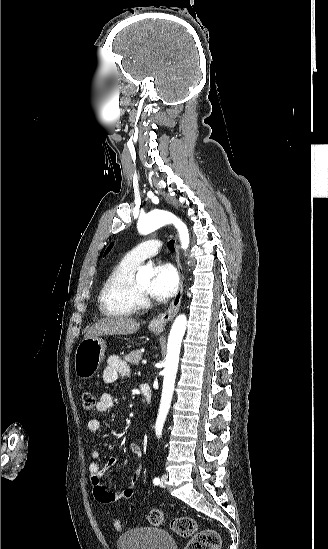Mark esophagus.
Instances as JSON below:
<instances>
[{"mask_svg": "<svg viewBox=\"0 0 328 549\" xmlns=\"http://www.w3.org/2000/svg\"><path fill=\"white\" fill-rule=\"evenodd\" d=\"M175 248H176V262H177L178 274H179L178 291L172 303L169 305L168 309L165 310V312H163L162 314L158 315L157 317L151 320L150 326L154 330H163L167 322H169V320H172L175 317L181 304L182 295H183L184 276H183V270L180 262V254H179V248H178L177 242H175Z\"/></svg>", "mask_w": 328, "mask_h": 549, "instance_id": "esophagus-1", "label": "esophagus"}]
</instances>
